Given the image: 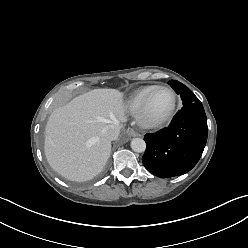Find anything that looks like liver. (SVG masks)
<instances>
[{
	"mask_svg": "<svg viewBox=\"0 0 248 248\" xmlns=\"http://www.w3.org/2000/svg\"><path fill=\"white\" fill-rule=\"evenodd\" d=\"M123 94L116 89H94L55 109L45 128L44 151L50 166L72 181H86L104 168L111 140L103 129L124 122Z\"/></svg>",
	"mask_w": 248,
	"mask_h": 248,
	"instance_id": "6515ba94",
	"label": "liver"
}]
</instances>
